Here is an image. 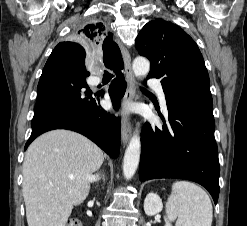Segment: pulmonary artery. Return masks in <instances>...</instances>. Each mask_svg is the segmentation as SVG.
Returning a JSON list of instances; mask_svg holds the SVG:
<instances>
[{
    "label": "pulmonary artery",
    "instance_id": "1",
    "mask_svg": "<svg viewBox=\"0 0 247 226\" xmlns=\"http://www.w3.org/2000/svg\"><path fill=\"white\" fill-rule=\"evenodd\" d=\"M148 85L158 93L163 108H166V100L161 83L158 80L152 79L148 82Z\"/></svg>",
    "mask_w": 247,
    "mask_h": 226
}]
</instances>
